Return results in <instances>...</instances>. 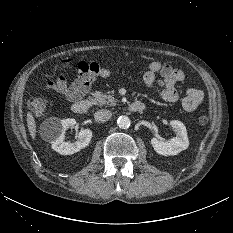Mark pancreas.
I'll return each instance as SVG.
<instances>
[{
	"mask_svg": "<svg viewBox=\"0 0 233 233\" xmlns=\"http://www.w3.org/2000/svg\"><path fill=\"white\" fill-rule=\"evenodd\" d=\"M92 95L94 97V104L99 106H103V105L115 106L117 103V100L111 95H106L101 92H95Z\"/></svg>",
	"mask_w": 233,
	"mask_h": 233,
	"instance_id": "obj_1",
	"label": "pancreas"
}]
</instances>
